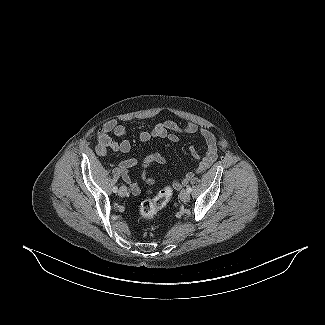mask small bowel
<instances>
[{"label":"small bowel","mask_w":325,"mask_h":325,"mask_svg":"<svg viewBox=\"0 0 325 325\" xmlns=\"http://www.w3.org/2000/svg\"><path fill=\"white\" fill-rule=\"evenodd\" d=\"M199 132L205 142L206 152L204 156H200L194 147H190L189 151L192 157L197 161V165L194 170L188 172L184 179L181 181H174L173 186L176 189H180L185 185L195 173H200L208 169L217 157V146L215 136L205 128H199L194 122H189L184 127L179 126L176 122L172 120H165L156 124L152 129L142 131L140 133V140L142 142H147L153 138L164 139L168 142L169 146L171 143H177L179 140L178 135H191ZM127 129L124 125L118 123L116 120L108 121L102 128L101 134L99 136L96 152L101 157L108 156L110 150L128 153L131 149V143L127 139ZM114 137L121 138L122 140L117 141ZM165 162L164 150H155L143 157L142 165L143 168H147L152 164H163ZM137 164L136 159L128 158L120 160L117 165L120 169V174L122 179L129 185L132 193L138 195L141 192V188L136 180L131 178L128 173L129 168ZM142 178L146 180L145 170L142 173ZM151 182V180H147Z\"/></svg>","instance_id":"small-bowel-1"}]
</instances>
